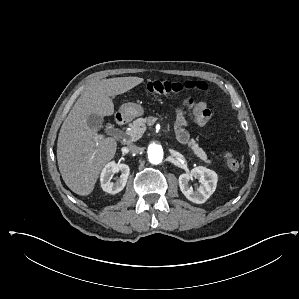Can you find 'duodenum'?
<instances>
[{
	"label": "duodenum",
	"instance_id": "1",
	"mask_svg": "<svg viewBox=\"0 0 299 299\" xmlns=\"http://www.w3.org/2000/svg\"><path fill=\"white\" fill-rule=\"evenodd\" d=\"M115 118H116V122H117V124L119 125V126H124L125 124H126V117L123 115V114H121V113H117L116 115H115Z\"/></svg>",
	"mask_w": 299,
	"mask_h": 299
}]
</instances>
